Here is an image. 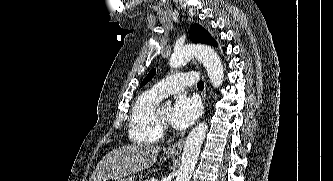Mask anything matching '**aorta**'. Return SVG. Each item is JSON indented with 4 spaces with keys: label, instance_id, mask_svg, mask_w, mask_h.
<instances>
[{
    "label": "aorta",
    "instance_id": "aorta-1",
    "mask_svg": "<svg viewBox=\"0 0 333 181\" xmlns=\"http://www.w3.org/2000/svg\"><path fill=\"white\" fill-rule=\"evenodd\" d=\"M193 57H196L204 65L213 87L219 88L223 82L224 69L220 57L209 46L186 45L174 52L169 64L171 67L177 68L186 64ZM169 103L168 101L167 104ZM207 130V123L202 122L189 133L183 148L181 166L175 181H190Z\"/></svg>",
    "mask_w": 333,
    "mask_h": 181
}]
</instances>
